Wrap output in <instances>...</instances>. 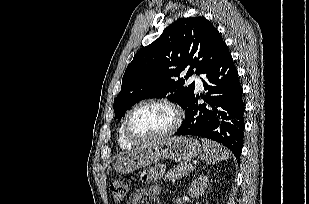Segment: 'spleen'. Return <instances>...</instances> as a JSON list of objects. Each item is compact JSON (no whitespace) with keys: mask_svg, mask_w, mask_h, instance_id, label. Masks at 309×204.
<instances>
[{"mask_svg":"<svg viewBox=\"0 0 309 204\" xmlns=\"http://www.w3.org/2000/svg\"><path fill=\"white\" fill-rule=\"evenodd\" d=\"M201 141L204 149V158L207 164L214 165L217 162L230 158L229 151L222 145L208 139H201Z\"/></svg>","mask_w":309,"mask_h":204,"instance_id":"obj_1","label":"spleen"}]
</instances>
